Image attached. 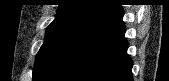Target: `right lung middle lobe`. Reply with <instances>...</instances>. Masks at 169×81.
<instances>
[{
  "label": "right lung middle lobe",
  "mask_w": 169,
  "mask_h": 81,
  "mask_svg": "<svg viewBox=\"0 0 169 81\" xmlns=\"http://www.w3.org/2000/svg\"><path fill=\"white\" fill-rule=\"evenodd\" d=\"M86 21L80 18L55 19L46 30L44 44L40 48L34 65L33 73Z\"/></svg>",
  "instance_id": "obj_1"
}]
</instances>
